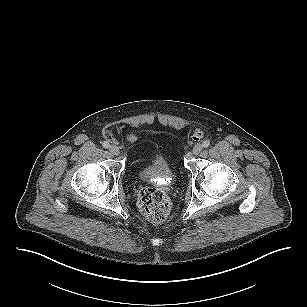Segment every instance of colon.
<instances>
[{
    "label": "colon",
    "instance_id": "obj_1",
    "mask_svg": "<svg viewBox=\"0 0 307 307\" xmlns=\"http://www.w3.org/2000/svg\"><path fill=\"white\" fill-rule=\"evenodd\" d=\"M140 212L152 222L166 220L171 211V202L166 193L157 187H144L138 194Z\"/></svg>",
    "mask_w": 307,
    "mask_h": 307
}]
</instances>
